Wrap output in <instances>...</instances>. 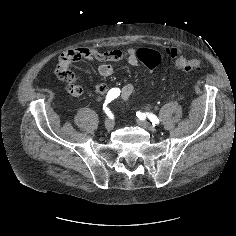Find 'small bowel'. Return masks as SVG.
Segmentation results:
<instances>
[{
    "mask_svg": "<svg viewBox=\"0 0 236 236\" xmlns=\"http://www.w3.org/2000/svg\"><path fill=\"white\" fill-rule=\"evenodd\" d=\"M62 58H66L70 62V66L73 63L87 60V61H98L101 64L98 67V72L103 77H108L113 74L114 68L111 62H118L125 60L130 66L136 67L139 63L137 57V51L133 48H129L126 51L121 50H110L100 51L96 47H77L64 52ZM66 82V90L73 96H80L84 93V88L77 82L76 76L70 70L67 71L66 77L63 79ZM96 93L102 95L106 93L108 87L104 83H98L94 87ZM134 85L128 83L123 86L121 96L124 100L130 98L133 94Z\"/></svg>",
    "mask_w": 236,
    "mask_h": 236,
    "instance_id": "1",
    "label": "small bowel"
}]
</instances>
